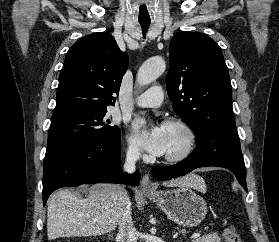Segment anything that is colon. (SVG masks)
<instances>
[{"label":"colon","mask_w":279,"mask_h":242,"mask_svg":"<svg viewBox=\"0 0 279 242\" xmlns=\"http://www.w3.org/2000/svg\"><path fill=\"white\" fill-rule=\"evenodd\" d=\"M225 242H243L238 232L231 226L226 227L223 231ZM67 242V241H61Z\"/></svg>","instance_id":"obj_1"}]
</instances>
